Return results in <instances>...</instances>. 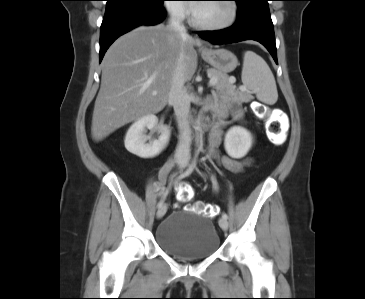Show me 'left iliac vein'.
<instances>
[{"label":"left iliac vein","mask_w":365,"mask_h":299,"mask_svg":"<svg viewBox=\"0 0 365 299\" xmlns=\"http://www.w3.org/2000/svg\"><path fill=\"white\" fill-rule=\"evenodd\" d=\"M219 226L221 227L222 230L226 231L228 229V221L225 218H220L219 219Z\"/></svg>","instance_id":"left-iliac-vein-1"}]
</instances>
